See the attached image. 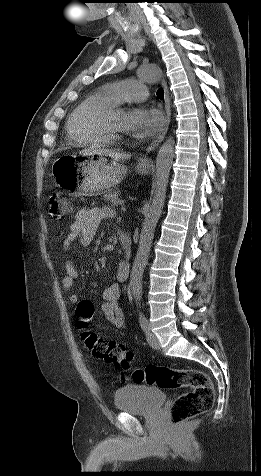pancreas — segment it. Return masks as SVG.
I'll list each match as a JSON object with an SVG mask.
<instances>
[{"label": "pancreas", "instance_id": "obj_1", "mask_svg": "<svg viewBox=\"0 0 261 476\" xmlns=\"http://www.w3.org/2000/svg\"><path fill=\"white\" fill-rule=\"evenodd\" d=\"M119 191L117 192H109L104 195L105 199L110 203L112 206L122 205V200L119 198Z\"/></svg>", "mask_w": 261, "mask_h": 476}]
</instances>
